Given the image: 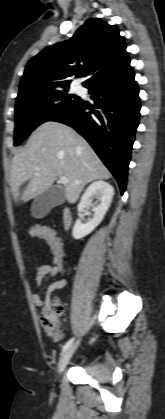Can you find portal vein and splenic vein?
Returning <instances> with one entry per match:
<instances>
[{"instance_id":"obj_1","label":"portal vein and splenic vein","mask_w":165,"mask_h":419,"mask_svg":"<svg viewBox=\"0 0 165 419\" xmlns=\"http://www.w3.org/2000/svg\"><path fill=\"white\" fill-rule=\"evenodd\" d=\"M58 182L65 185V184L68 183V178L67 177H60Z\"/></svg>"}]
</instances>
